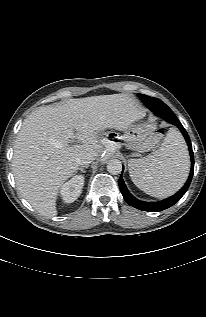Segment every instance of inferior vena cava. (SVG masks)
<instances>
[{
	"label": "inferior vena cava",
	"instance_id": "inferior-vena-cava-1",
	"mask_svg": "<svg viewBox=\"0 0 206 317\" xmlns=\"http://www.w3.org/2000/svg\"><path fill=\"white\" fill-rule=\"evenodd\" d=\"M96 156L97 155L95 153H82L80 156L76 158V162L78 165H88L96 158Z\"/></svg>",
	"mask_w": 206,
	"mask_h": 317
}]
</instances>
